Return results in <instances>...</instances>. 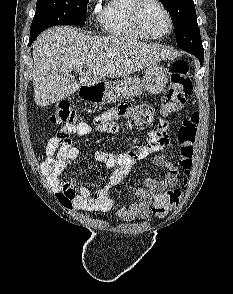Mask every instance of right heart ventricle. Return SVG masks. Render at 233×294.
<instances>
[{"label": "right heart ventricle", "mask_w": 233, "mask_h": 294, "mask_svg": "<svg viewBox=\"0 0 233 294\" xmlns=\"http://www.w3.org/2000/svg\"><path fill=\"white\" fill-rule=\"evenodd\" d=\"M133 3L134 0H107L97 16L102 31L118 38L147 39L132 24L130 12Z\"/></svg>", "instance_id": "1"}]
</instances>
